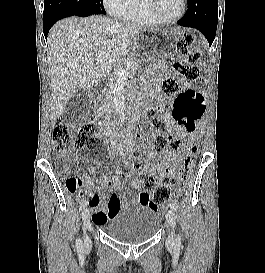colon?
<instances>
[{
    "label": "colon",
    "mask_w": 265,
    "mask_h": 273,
    "mask_svg": "<svg viewBox=\"0 0 265 273\" xmlns=\"http://www.w3.org/2000/svg\"><path fill=\"white\" fill-rule=\"evenodd\" d=\"M176 51L193 62L200 57L195 38L190 34L179 40ZM174 70L186 80L204 82L199 67L194 64L175 63ZM162 91L167 97L175 98L173 105L164 104L159 107H146L141 118L136 141L141 144L150 131H160L163 128L162 115L170 114L177 124L184 128L183 151L186 152V155L179 163L178 171L180 180L186 182L191 176L196 153L202 147V137L200 136L199 128H196V124L205 112L206 95L201 91L183 89L174 77H167L163 80ZM98 132V126L91 122L78 125L61 123L54 129L53 141L57 152L64 157L74 149L76 144L93 141L97 137ZM153 145L155 151L160 153L168 146L173 150H178L181 143L177 139L168 141L165 136L158 133L154 137ZM140 155V149H135L133 169L141 168ZM167 183L168 180L164 184H159L151 176L144 178L142 190L153 191V197L150 198L151 203L146 205L157 206L170 198L171 188ZM66 187L71 194L81 196L83 194L84 181L78 177H70L66 180Z\"/></svg>",
    "instance_id": "colon-1"
}]
</instances>
